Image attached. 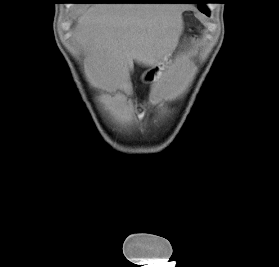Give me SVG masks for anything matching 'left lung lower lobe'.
Returning a JSON list of instances; mask_svg holds the SVG:
<instances>
[{
  "label": "left lung lower lobe",
  "instance_id": "1",
  "mask_svg": "<svg viewBox=\"0 0 279 267\" xmlns=\"http://www.w3.org/2000/svg\"><path fill=\"white\" fill-rule=\"evenodd\" d=\"M183 3H197L198 4V8H199V10L202 12V13H204V14H206V15H209V10L205 7V6H203L202 4H204V3H206V2H204L203 0H186L185 2H183Z\"/></svg>",
  "mask_w": 279,
  "mask_h": 267
}]
</instances>
